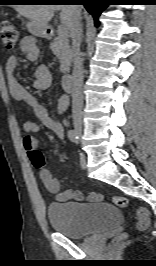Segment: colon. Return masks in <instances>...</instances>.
<instances>
[{"label": "colon", "mask_w": 156, "mask_h": 266, "mask_svg": "<svg viewBox=\"0 0 156 266\" xmlns=\"http://www.w3.org/2000/svg\"><path fill=\"white\" fill-rule=\"evenodd\" d=\"M0 36L5 48H7L8 50L13 49L18 37L15 25L10 21L2 22ZM29 158L36 168H41L45 165L43 155L38 150L31 152ZM112 201L116 206L120 208H126L128 206L127 199L122 196H113ZM149 222L150 220L148 211L145 208H139L136 214L137 229H146L149 226Z\"/></svg>", "instance_id": "5ec220e1"}]
</instances>
